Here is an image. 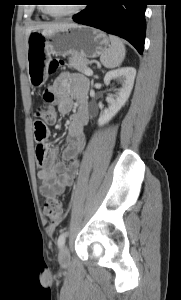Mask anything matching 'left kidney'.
<instances>
[{
    "mask_svg": "<svg viewBox=\"0 0 181 300\" xmlns=\"http://www.w3.org/2000/svg\"><path fill=\"white\" fill-rule=\"evenodd\" d=\"M136 70L133 67H123L109 71L104 77V83L109 85L111 80H116L121 87L116 89L114 95L107 97L108 108H106L98 119V125L103 126L108 123L124 106L128 100L134 85Z\"/></svg>",
    "mask_w": 181,
    "mask_h": 300,
    "instance_id": "5707ae66",
    "label": "left kidney"
}]
</instances>
